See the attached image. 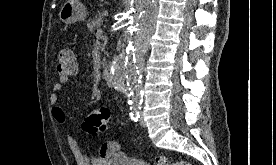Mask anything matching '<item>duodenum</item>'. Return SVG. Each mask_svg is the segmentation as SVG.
I'll return each instance as SVG.
<instances>
[{"label": "duodenum", "instance_id": "1", "mask_svg": "<svg viewBox=\"0 0 276 165\" xmlns=\"http://www.w3.org/2000/svg\"><path fill=\"white\" fill-rule=\"evenodd\" d=\"M103 76H104L106 81H110V69H109V67L106 66L103 69Z\"/></svg>", "mask_w": 276, "mask_h": 165}]
</instances>
